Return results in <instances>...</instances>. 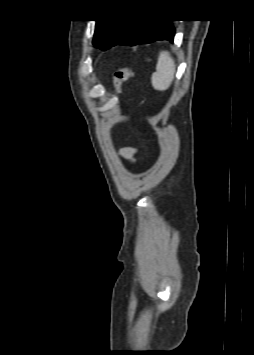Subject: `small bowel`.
Instances as JSON below:
<instances>
[{"mask_svg": "<svg viewBox=\"0 0 254 355\" xmlns=\"http://www.w3.org/2000/svg\"><path fill=\"white\" fill-rule=\"evenodd\" d=\"M136 153L137 149L132 147H126L121 150V155L129 161L135 160Z\"/></svg>", "mask_w": 254, "mask_h": 355, "instance_id": "small-bowel-1", "label": "small bowel"}]
</instances>
